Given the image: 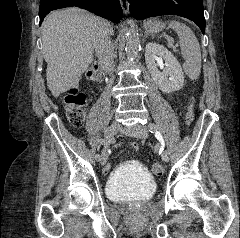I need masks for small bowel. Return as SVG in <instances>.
Wrapping results in <instances>:
<instances>
[{
	"instance_id": "1",
	"label": "small bowel",
	"mask_w": 240,
	"mask_h": 238,
	"mask_svg": "<svg viewBox=\"0 0 240 238\" xmlns=\"http://www.w3.org/2000/svg\"><path fill=\"white\" fill-rule=\"evenodd\" d=\"M122 147H123L122 143L116 144L117 151H120ZM130 147L131 148H143L144 144L143 143H131ZM129 152H133L134 154H137L139 151L137 149H134L133 151H129ZM110 166H114V161H107V164L104 165V171L102 172L104 175L108 174V172L110 171Z\"/></svg>"
}]
</instances>
